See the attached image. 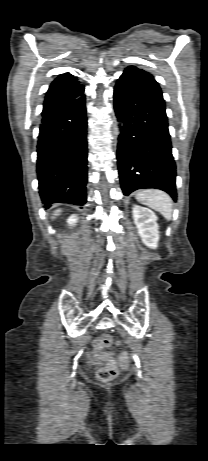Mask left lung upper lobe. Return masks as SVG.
I'll use <instances>...</instances> for the list:
<instances>
[{
	"instance_id": "1",
	"label": "left lung upper lobe",
	"mask_w": 208,
	"mask_h": 461,
	"mask_svg": "<svg viewBox=\"0 0 208 461\" xmlns=\"http://www.w3.org/2000/svg\"><path fill=\"white\" fill-rule=\"evenodd\" d=\"M126 69H138V68H137V67H135V66H129V67H128V68H126ZM150 75H151V74H150Z\"/></svg>"
}]
</instances>
